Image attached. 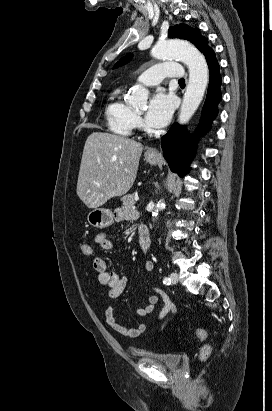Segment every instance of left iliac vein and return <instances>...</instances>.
I'll list each match as a JSON object with an SVG mask.
<instances>
[{
	"instance_id": "left-iliac-vein-1",
	"label": "left iliac vein",
	"mask_w": 272,
	"mask_h": 411,
	"mask_svg": "<svg viewBox=\"0 0 272 411\" xmlns=\"http://www.w3.org/2000/svg\"><path fill=\"white\" fill-rule=\"evenodd\" d=\"M171 278V282L173 284H177L178 283V274L176 272H172L170 275Z\"/></svg>"
}]
</instances>
